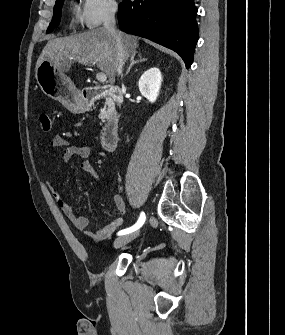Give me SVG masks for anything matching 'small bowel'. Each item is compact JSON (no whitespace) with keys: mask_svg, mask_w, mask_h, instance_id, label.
<instances>
[{"mask_svg":"<svg viewBox=\"0 0 285 335\" xmlns=\"http://www.w3.org/2000/svg\"><path fill=\"white\" fill-rule=\"evenodd\" d=\"M50 145L53 148L64 147L62 154L63 162H70L74 157L82 159L81 168L88 173L94 179L96 178V171L89 160L90 150L86 145H72L69 141L61 135H56L50 140ZM53 159V156H51ZM50 191L57 202L58 206L71 222L73 227L85 234L91 242H99L106 239H109L114 232L123 224V216L126 213V206L124 200L119 196H114V202L117 209L120 212V216L112 221L107 222L99 229L95 231H87V219L83 216L76 214L74 209L69 205L63 193L55 190L52 186H49Z\"/></svg>","mask_w":285,"mask_h":335,"instance_id":"c3829d8e","label":"small bowel"}]
</instances>
